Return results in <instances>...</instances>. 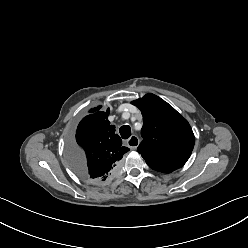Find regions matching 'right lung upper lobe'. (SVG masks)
Segmentation results:
<instances>
[{
    "instance_id": "right-lung-upper-lobe-1",
    "label": "right lung upper lobe",
    "mask_w": 248,
    "mask_h": 248,
    "mask_svg": "<svg viewBox=\"0 0 248 248\" xmlns=\"http://www.w3.org/2000/svg\"><path fill=\"white\" fill-rule=\"evenodd\" d=\"M100 108L91 109V114L81 120L76 131V141L83 153L82 173L90 182L108 176L129 151L122 146L121 138L108 120L109 109L103 112Z\"/></svg>"
}]
</instances>
